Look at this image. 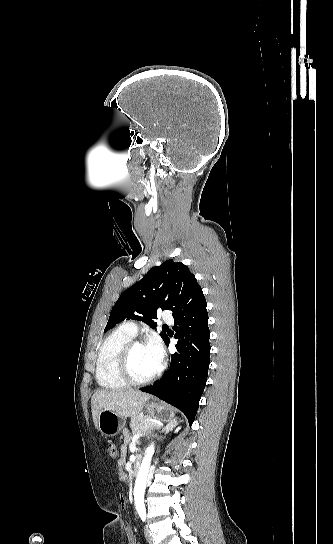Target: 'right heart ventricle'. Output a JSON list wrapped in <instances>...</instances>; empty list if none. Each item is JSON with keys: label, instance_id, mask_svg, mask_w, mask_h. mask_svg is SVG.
Segmentation results:
<instances>
[{"label": "right heart ventricle", "instance_id": "obj_1", "mask_svg": "<svg viewBox=\"0 0 333 544\" xmlns=\"http://www.w3.org/2000/svg\"><path fill=\"white\" fill-rule=\"evenodd\" d=\"M134 335L122 326L108 334L101 343L95 366V377L100 387L108 390H120L128 384L121 378L118 359L121 350Z\"/></svg>", "mask_w": 333, "mask_h": 544}]
</instances>
